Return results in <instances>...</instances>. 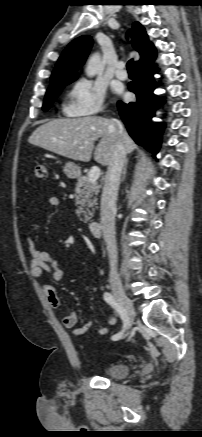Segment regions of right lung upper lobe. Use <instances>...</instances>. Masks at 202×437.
Wrapping results in <instances>:
<instances>
[{"mask_svg":"<svg viewBox=\"0 0 202 437\" xmlns=\"http://www.w3.org/2000/svg\"><path fill=\"white\" fill-rule=\"evenodd\" d=\"M127 34L132 38V46L140 54V60L135 65L149 61L157 55L155 46L149 41L145 28L139 22H135ZM92 44L93 40L89 35L73 40L58 59L50 85L62 80L77 78V70L84 64Z\"/></svg>","mask_w":202,"mask_h":437,"instance_id":"1","label":"right lung upper lobe"}]
</instances>
